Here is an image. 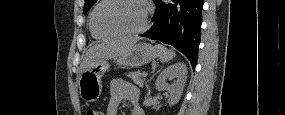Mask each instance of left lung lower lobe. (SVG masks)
<instances>
[{"instance_id": "left-lung-lower-lobe-1", "label": "left lung lower lobe", "mask_w": 285, "mask_h": 115, "mask_svg": "<svg viewBox=\"0 0 285 115\" xmlns=\"http://www.w3.org/2000/svg\"><path fill=\"white\" fill-rule=\"evenodd\" d=\"M153 25L140 36L160 40L181 51L195 68L200 44L202 0H153Z\"/></svg>"}]
</instances>
